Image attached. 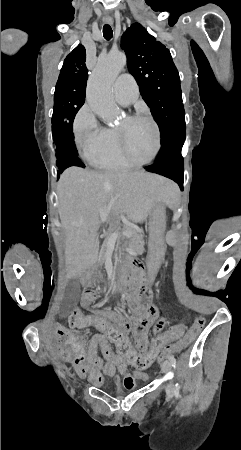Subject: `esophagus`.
<instances>
[{
	"label": "esophagus",
	"instance_id": "esophagus-1",
	"mask_svg": "<svg viewBox=\"0 0 241 450\" xmlns=\"http://www.w3.org/2000/svg\"><path fill=\"white\" fill-rule=\"evenodd\" d=\"M104 21H105L106 23H112V22H113V18H112V17H106V18L104 19Z\"/></svg>",
	"mask_w": 241,
	"mask_h": 450
}]
</instances>
